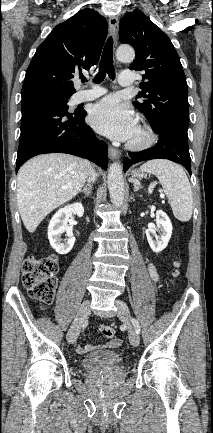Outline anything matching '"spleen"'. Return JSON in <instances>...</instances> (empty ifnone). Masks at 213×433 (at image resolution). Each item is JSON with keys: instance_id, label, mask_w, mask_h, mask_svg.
<instances>
[{"instance_id": "spleen-1", "label": "spleen", "mask_w": 213, "mask_h": 433, "mask_svg": "<svg viewBox=\"0 0 213 433\" xmlns=\"http://www.w3.org/2000/svg\"><path fill=\"white\" fill-rule=\"evenodd\" d=\"M140 170L156 175L167 196L175 218L187 222L193 211V196L183 168L168 160H151Z\"/></svg>"}]
</instances>
